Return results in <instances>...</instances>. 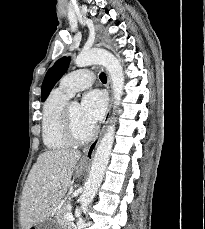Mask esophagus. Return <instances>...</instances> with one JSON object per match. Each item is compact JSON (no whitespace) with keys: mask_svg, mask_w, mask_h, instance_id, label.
I'll return each mask as SVG.
<instances>
[{"mask_svg":"<svg viewBox=\"0 0 205 229\" xmlns=\"http://www.w3.org/2000/svg\"><path fill=\"white\" fill-rule=\"evenodd\" d=\"M108 77V82H107V88H108V91H109V94H110V104H109V108H108V111H107V114L105 116V119H104V122H103V127L101 129V132L99 134V136L90 144L88 145L85 149H84V158L85 159H90L92 158L93 154H94V151L105 131V128L108 124V121H109V117H110V112H111V105H112V80H111V77L110 75L107 76Z\"/></svg>","mask_w":205,"mask_h":229,"instance_id":"esophagus-1","label":"esophagus"}]
</instances>
